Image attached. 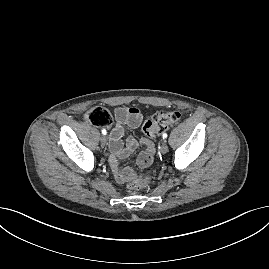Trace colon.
Instances as JSON below:
<instances>
[{
    "label": "colon",
    "instance_id": "1",
    "mask_svg": "<svg viewBox=\"0 0 269 269\" xmlns=\"http://www.w3.org/2000/svg\"><path fill=\"white\" fill-rule=\"evenodd\" d=\"M85 119L91 124L98 127H108L112 123L110 112L101 106H96L89 109L85 113ZM180 119V113L177 111H161L155 113L149 120H147L142 130L148 138H154L161 132L173 127ZM153 178V172L148 171L144 175L134 177L129 184L131 189H141L149 184Z\"/></svg>",
    "mask_w": 269,
    "mask_h": 269
}]
</instances>
